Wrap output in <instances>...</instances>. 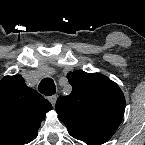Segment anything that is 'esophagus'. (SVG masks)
<instances>
[{
  "instance_id": "obj_1",
  "label": "esophagus",
  "mask_w": 145,
  "mask_h": 145,
  "mask_svg": "<svg viewBox=\"0 0 145 145\" xmlns=\"http://www.w3.org/2000/svg\"><path fill=\"white\" fill-rule=\"evenodd\" d=\"M50 103L52 104L53 107H55L56 101H57V96L56 95H52L49 98Z\"/></svg>"
}]
</instances>
